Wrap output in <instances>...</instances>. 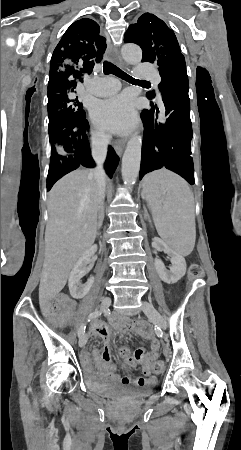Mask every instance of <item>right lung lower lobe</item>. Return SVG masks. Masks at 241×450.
Wrapping results in <instances>:
<instances>
[{
	"label": "right lung lower lobe",
	"mask_w": 241,
	"mask_h": 450,
	"mask_svg": "<svg viewBox=\"0 0 241 450\" xmlns=\"http://www.w3.org/2000/svg\"><path fill=\"white\" fill-rule=\"evenodd\" d=\"M88 128V121L86 119L61 127V132L72 144L74 153L67 156H55L51 158L47 176V190H50L58 179L77 169L80 165L88 168L95 167L86 134ZM118 162L119 157L116 155L114 149L109 146L108 155L104 163V168L109 177L113 176Z\"/></svg>",
	"instance_id": "1"
}]
</instances>
